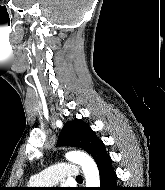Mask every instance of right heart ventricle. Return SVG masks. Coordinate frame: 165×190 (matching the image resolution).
<instances>
[{"label":"right heart ventricle","mask_w":165,"mask_h":190,"mask_svg":"<svg viewBox=\"0 0 165 190\" xmlns=\"http://www.w3.org/2000/svg\"><path fill=\"white\" fill-rule=\"evenodd\" d=\"M29 186H30V187H34V186H36V184H34L33 182H30V183H29Z\"/></svg>","instance_id":"obj_1"}]
</instances>
